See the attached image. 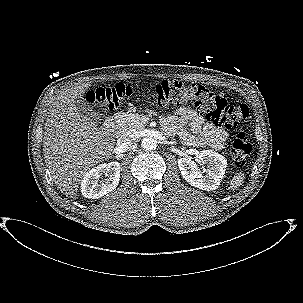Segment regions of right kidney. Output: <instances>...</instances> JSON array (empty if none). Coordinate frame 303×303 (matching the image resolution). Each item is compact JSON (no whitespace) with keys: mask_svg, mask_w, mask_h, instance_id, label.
Segmentation results:
<instances>
[{"mask_svg":"<svg viewBox=\"0 0 303 303\" xmlns=\"http://www.w3.org/2000/svg\"><path fill=\"white\" fill-rule=\"evenodd\" d=\"M120 171L118 162L104 163L92 168L81 181L82 195L89 199H98L113 191L119 184ZM103 175L107 178L99 181Z\"/></svg>","mask_w":303,"mask_h":303,"instance_id":"ca27d5eb","label":"right kidney"}]
</instances>
